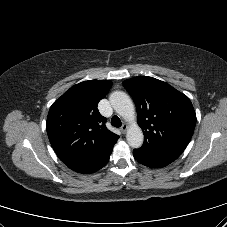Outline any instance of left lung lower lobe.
<instances>
[{
  "instance_id": "left-lung-lower-lobe-1",
  "label": "left lung lower lobe",
  "mask_w": 227,
  "mask_h": 227,
  "mask_svg": "<svg viewBox=\"0 0 227 227\" xmlns=\"http://www.w3.org/2000/svg\"><path fill=\"white\" fill-rule=\"evenodd\" d=\"M134 158L141 164L152 167L162 168L176 160L179 155L172 154L161 149L139 148L133 150Z\"/></svg>"
}]
</instances>
